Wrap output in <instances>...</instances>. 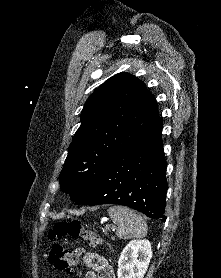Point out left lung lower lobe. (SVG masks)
<instances>
[{"instance_id":"0a47b994","label":"left lung lower lobe","mask_w":221,"mask_h":278,"mask_svg":"<svg viewBox=\"0 0 221 278\" xmlns=\"http://www.w3.org/2000/svg\"><path fill=\"white\" fill-rule=\"evenodd\" d=\"M162 120L121 150L77 204H118L166 221L167 181Z\"/></svg>"}]
</instances>
